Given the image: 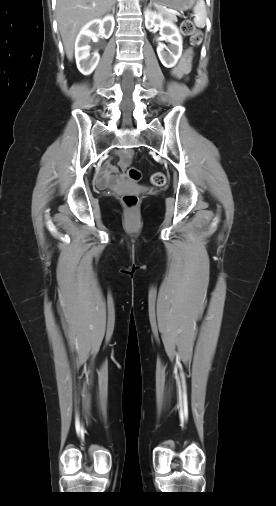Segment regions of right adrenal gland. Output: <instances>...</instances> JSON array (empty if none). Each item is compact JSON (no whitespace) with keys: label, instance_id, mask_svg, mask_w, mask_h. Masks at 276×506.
I'll return each mask as SVG.
<instances>
[{"label":"right adrenal gland","instance_id":"right-adrenal-gland-1","mask_svg":"<svg viewBox=\"0 0 276 506\" xmlns=\"http://www.w3.org/2000/svg\"><path fill=\"white\" fill-rule=\"evenodd\" d=\"M111 9H112V12H113V14H114V13H115V3L113 4V6H112V8H111Z\"/></svg>","mask_w":276,"mask_h":506}]
</instances>
